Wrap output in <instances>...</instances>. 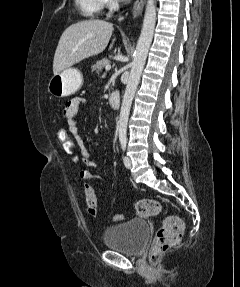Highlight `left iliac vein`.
Instances as JSON below:
<instances>
[{
  "label": "left iliac vein",
  "mask_w": 240,
  "mask_h": 287,
  "mask_svg": "<svg viewBox=\"0 0 240 287\" xmlns=\"http://www.w3.org/2000/svg\"><path fill=\"white\" fill-rule=\"evenodd\" d=\"M124 165L128 169H130L132 167V161L128 156L124 157Z\"/></svg>",
  "instance_id": "obj_1"
}]
</instances>
